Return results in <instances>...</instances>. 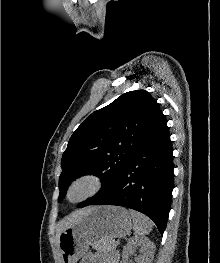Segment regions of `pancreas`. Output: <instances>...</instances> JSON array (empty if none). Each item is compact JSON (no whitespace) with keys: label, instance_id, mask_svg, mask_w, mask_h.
Instances as JSON below:
<instances>
[{"label":"pancreas","instance_id":"pancreas-1","mask_svg":"<svg viewBox=\"0 0 220 263\" xmlns=\"http://www.w3.org/2000/svg\"><path fill=\"white\" fill-rule=\"evenodd\" d=\"M112 242H110V244H104L101 248H100V250H102V251H106V250H110L111 248H112Z\"/></svg>","mask_w":220,"mask_h":263}]
</instances>
